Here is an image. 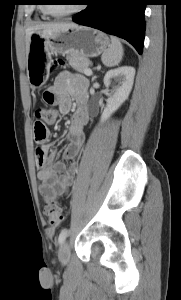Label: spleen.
Listing matches in <instances>:
<instances>
[{
  "label": "spleen",
  "mask_w": 181,
  "mask_h": 300,
  "mask_svg": "<svg viewBox=\"0 0 181 300\" xmlns=\"http://www.w3.org/2000/svg\"><path fill=\"white\" fill-rule=\"evenodd\" d=\"M123 53V46L120 40L111 36V45L103 52L101 60L106 67H114L122 60Z\"/></svg>",
  "instance_id": "spleen-1"
}]
</instances>
